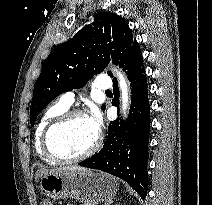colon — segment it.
<instances>
[{
  "label": "colon",
  "instance_id": "colon-1",
  "mask_svg": "<svg viewBox=\"0 0 212 205\" xmlns=\"http://www.w3.org/2000/svg\"><path fill=\"white\" fill-rule=\"evenodd\" d=\"M41 205H53V203L49 198H43Z\"/></svg>",
  "mask_w": 212,
  "mask_h": 205
}]
</instances>
